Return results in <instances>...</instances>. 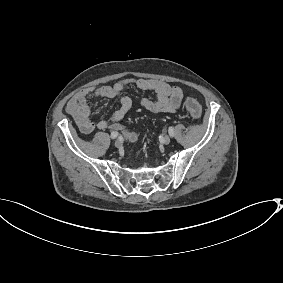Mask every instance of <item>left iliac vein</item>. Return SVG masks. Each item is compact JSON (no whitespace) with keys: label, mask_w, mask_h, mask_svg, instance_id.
<instances>
[{"label":"left iliac vein","mask_w":283,"mask_h":283,"mask_svg":"<svg viewBox=\"0 0 283 283\" xmlns=\"http://www.w3.org/2000/svg\"><path fill=\"white\" fill-rule=\"evenodd\" d=\"M170 141H171V139H170V137L168 136V135H165L164 137H163V139H162V142L164 143V144H169L170 143Z\"/></svg>","instance_id":"obj_1"}]
</instances>
